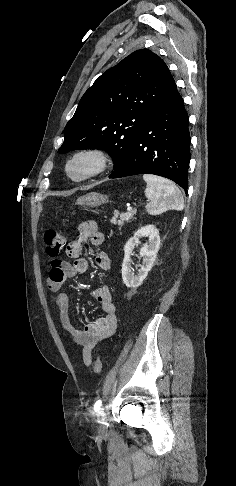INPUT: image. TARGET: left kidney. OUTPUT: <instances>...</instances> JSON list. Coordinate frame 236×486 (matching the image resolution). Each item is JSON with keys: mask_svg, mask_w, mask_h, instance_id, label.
Instances as JSON below:
<instances>
[{"mask_svg": "<svg viewBox=\"0 0 236 486\" xmlns=\"http://www.w3.org/2000/svg\"><path fill=\"white\" fill-rule=\"evenodd\" d=\"M148 237L149 244H145L140 250V257L143 258L142 265L135 275L131 266L130 255L135 246L140 243V238ZM160 248L159 230L154 225H147L138 229L134 236L131 237L124 246V259L122 263V279L127 287L137 288L147 277L148 272L152 269Z\"/></svg>", "mask_w": 236, "mask_h": 486, "instance_id": "left-kidney-1", "label": "left kidney"}]
</instances>
